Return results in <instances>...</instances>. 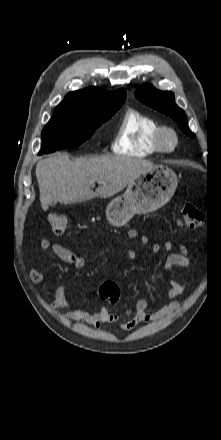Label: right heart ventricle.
<instances>
[{"mask_svg": "<svg viewBox=\"0 0 221 440\" xmlns=\"http://www.w3.org/2000/svg\"><path fill=\"white\" fill-rule=\"evenodd\" d=\"M159 126L152 117L138 110L128 109L112 142L113 152L132 157H146L160 152L155 142V133Z\"/></svg>", "mask_w": 221, "mask_h": 440, "instance_id": "1", "label": "right heart ventricle"}]
</instances>
